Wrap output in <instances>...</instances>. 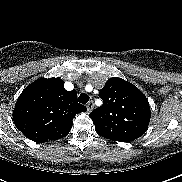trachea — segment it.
I'll list each match as a JSON object with an SVG mask.
<instances>
[{"mask_svg": "<svg viewBox=\"0 0 182 182\" xmlns=\"http://www.w3.org/2000/svg\"><path fill=\"white\" fill-rule=\"evenodd\" d=\"M78 101L81 104H86L89 101V96L85 93L80 94V96L78 97Z\"/></svg>", "mask_w": 182, "mask_h": 182, "instance_id": "3493384b", "label": "trachea"}]
</instances>
